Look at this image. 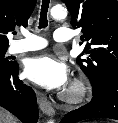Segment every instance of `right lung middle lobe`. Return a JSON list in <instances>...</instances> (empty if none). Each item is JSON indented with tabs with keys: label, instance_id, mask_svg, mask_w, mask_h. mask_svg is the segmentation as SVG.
<instances>
[{
	"label": "right lung middle lobe",
	"instance_id": "dd1d6c3e",
	"mask_svg": "<svg viewBox=\"0 0 118 123\" xmlns=\"http://www.w3.org/2000/svg\"><path fill=\"white\" fill-rule=\"evenodd\" d=\"M7 49H0V69L10 68L14 65L13 62H10L7 57H5Z\"/></svg>",
	"mask_w": 118,
	"mask_h": 123
}]
</instances>
